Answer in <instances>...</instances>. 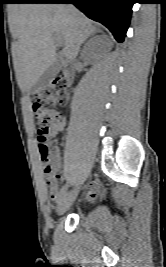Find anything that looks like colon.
Wrapping results in <instances>:
<instances>
[{
	"instance_id": "colon-1",
	"label": "colon",
	"mask_w": 166,
	"mask_h": 267,
	"mask_svg": "<svg viewBox=\"0 0 166 267\" xmlns=\"http://www.w3.org/2000/svg\"><path fill=\"white\" fill-rule=\"evenodd\" d=\"M69 102L67 82L62 78L54 79L47 87L38 91L32 103V111L38 129L39 152L43 162V170L47 177L54 174V151L47 143V136L53 124L61 120L59 106Z\"/></svg>"
}]
</instances>
